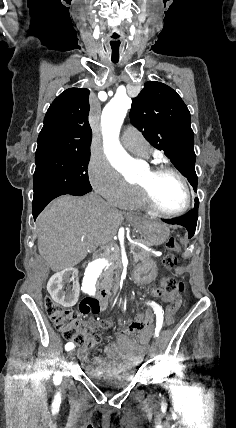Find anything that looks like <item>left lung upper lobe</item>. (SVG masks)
I'll return each instance as SVG.
<instances>
[{
  "label": "left lung upper lobe",
  "instance_id": "left-lung-upper-lobe-1",
  "mask_svg": "<svg viewBox=\"0 0 236 428\" xmlns=\"http://www.w3.org/2000/svg\"><path fill=\"white\" fill-rule=\"evenodd\" d=\"M130 120L152 146L164 151L196 191L194 133L181 97L171 87L149 81L132 100Z\"/></svg>",
  "mask_w": 236,
  "mask_h": 428
}]
</instances>
